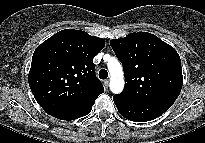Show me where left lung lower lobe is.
Returning a JSON list of instances; mask_svg holds the SVG:
<instances>
[{
    "label": "left lung lower lobe",
    "instance_id": "1",
    "mask_svg": "<svg viewBox=\"0 0 205 143\" xmlns=\"http://www.w3.org/2000/svg\"><path fill=\"white\" fill-rule=\"evenodd\" d=\"M113 101L119 113L134 122H146L155 119L167 111L175 102L174 99H161L134 103L123 100L117 95L113 96Z\"/></svg>",
    "mask_w": 205,
    "mask_h": 143
}]
</instances>
